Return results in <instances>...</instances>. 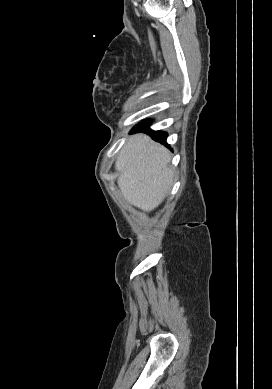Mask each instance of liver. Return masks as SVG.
Wrapping results in <instances>:
<instances>
[{
  "label": "liver",
  "instance_id": "liver-1",
  "mask_svg": "<svg viewBox=\"0 0 272 389\" xmlns=\"http://www.w3.org/2000/svg\"><path fill=\"white\" fill-rule=\"evenodd\" d=\"M170 159L169 151L148 136L130 137L115 165L124 199L144 212L157 208L172 186Z\"/></svg>",
  "mask_w": 272,
  "mask_h": 389
}]
</instances>
